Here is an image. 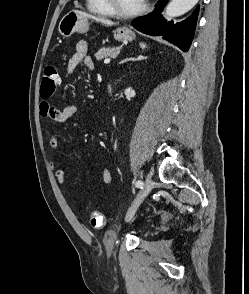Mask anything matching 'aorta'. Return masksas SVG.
<instances>
[{
    "label": "aorta",
    "instance_id": "1",
    "mask_svg": "<svg viewBox=\"0 0 249 294\" xmlns=\"http://www.w3.org/2000/svg\"><path fill=\"white\" fill-rule=\"evenodd\" d=\"M198 0H171L167 5L165 14L167 17H178L190 11Z\"/></svg>",
    "mask_w": 249,
    "mask_h": 294
}]
</instances>
